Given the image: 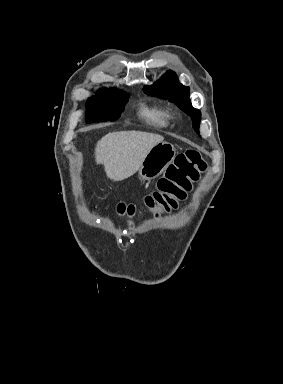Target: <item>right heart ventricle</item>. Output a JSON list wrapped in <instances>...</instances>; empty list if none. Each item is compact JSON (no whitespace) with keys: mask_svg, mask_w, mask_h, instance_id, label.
I'll return each mask as SVG.
<instances>
[{"mask_svg":"<svg viewBox=\"0 0 283 384\" xmlns=\"http://www.w3.org/2000/svg\"><path fill=\"white\" fill-rule=\"evenodd\" d=\"M139 113L147 123L156 128L167 127L172 117L170 109L160 101L141 102Z\"/></svg>","mask_w":283,"mask_h":384,"instance_id":"1","label":"right heart ventricle"}]
</instances>
